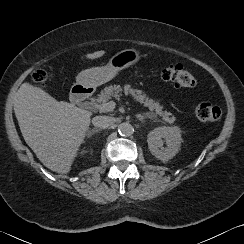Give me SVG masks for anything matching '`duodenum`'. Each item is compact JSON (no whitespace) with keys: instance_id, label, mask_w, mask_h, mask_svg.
I'll return each mask as SVG.
<instances>
[{"instance_id":"1","label":"duodenum","mask_w":244,"mask_h":244,"mask_svg":"<svg viewBox=\"0 0 244 244\" xmlns=\"http://www.w3.org/2000/svg\"><path fill=\"white\" fill-rule=\"evenodd\" d=\"M93 90L87 85H76L71 91V101L75 105L84 104L89 101Z\"/></svg>"}]
</instances>
